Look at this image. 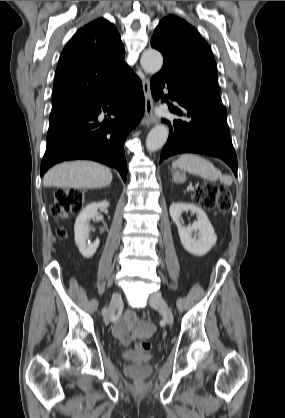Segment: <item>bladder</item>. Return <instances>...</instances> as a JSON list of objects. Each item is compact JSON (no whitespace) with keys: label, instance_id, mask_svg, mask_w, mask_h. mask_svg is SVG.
Masks as SVG:
<instances>
[{"label":"bladder","instance_id":"1","mask_svg":"<svg viewBox=\"0 0 285 418\" xmlns=\"http://www.w3.org/2000/svg\"><path fill=\"white\" fill-rule=\"evenodd\" d=\"M122 356L129 363H145L152 359L151 354L139 353L133 349L125 351Z\"/></svg>","mask_w":285,"mask_h":418}]
</instances>
